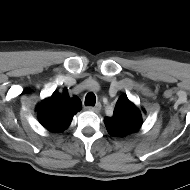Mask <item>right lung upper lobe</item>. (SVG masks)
Returning a JSON list of instances; mask_svg holds the SVG:
<instances>
[{
	"mask_svg": "<svg viewBox=\"0 0 190 190\" xmlns=\"http://www.w3.org/2000/svg\"><path fill=\"white\" fill-rule=\"evenodd\" d=\"M82 108L77 96L70 97L67 89L61 95L54 92L37 107L40 123L51 132H62L70 125L73 116Z\"/></svg>",
	"mask_w": 190,
	"mask_h": 190,
	"instance_id": "1",
	"label": "right lung upper lobe"
}]
</instances>
